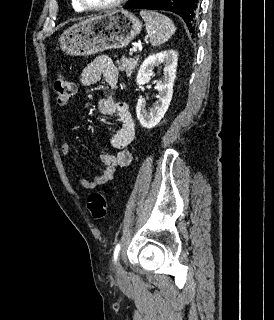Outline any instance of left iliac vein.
Segmentation results:
<instances>
[{
	"instance_id": "obj_1",
	"label": "left iliac vein",
	"mask_w": 274,
	"mask_h": 320,
	"mask_svg": "<svg viewBox=\"0 0 274 320\" xmlns=\"http://www.w3.org/2000/svg\"><path fill=\"white\" fill-rule=\"evenodd\" d=\"M116 274H117L118 280H123L125 278V270H124L123 266L121 265L119 259L116 263Z\"/></svg>"
}]
</instances>
